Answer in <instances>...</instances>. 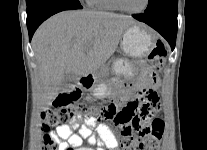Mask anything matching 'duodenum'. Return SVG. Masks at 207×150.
Masks as SVG:
<instances>
[{
	"instance_id": "410a0bca",
	"label": "duodenum",
	"mask_w": 207,
	"mask_h": 150,
	"mask_svg": "<svg viewBox=\"0 0 207 150\" xmlns=\"http://www.w3.org/2000/svg\"><path fill=\"white\" fill-rule=\"evenodd\" d=\"M94 82V79L91 75H83L80 79L78 84L81 87H89Z\"/></svg>"
}]
</instances>
